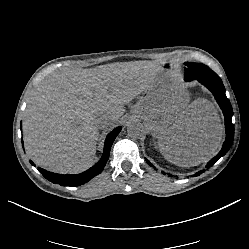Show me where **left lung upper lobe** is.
Instances as JSON below:
<instances>
[{"label": "left lung upper lobe", "mask_w": 249, "mask_h": 249, "mask_svg": "<svg viewBox=\"0 0 249 249\" xmlns=\"http://www.w3.org/2000/svg\"><path fill=\"white\" fill-rule=\"evenodd\" d=\"M187 67L185 69L184 80H195L200 78L215 77L218 76L214 71H212L208 66L199 63H186Z\"/></svg>", "instance_id": "obj_1"}]
</instances>
